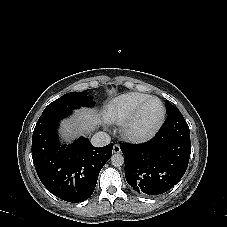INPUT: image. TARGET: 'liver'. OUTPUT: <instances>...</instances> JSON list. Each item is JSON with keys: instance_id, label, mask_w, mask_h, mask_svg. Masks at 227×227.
I'll return each instance as SVG.
<instances>
[{"instance_id": "6515ba94", "label": "liver", "mask_w": 227, "mask_h": 227, "mask_svg": "<svg viewBox=\"0 0 227 227\" xmlns=\"http://www.w3.org/2000/svg\"><path fill=\"white\" fill-rule=\"evenodd\" d=\"M101 124L99 114L88 109H81L77 111L76 121L64 122L62 124V131L67 138L75 137L78 133H90L97 125Z\"/></svg>"}]
</instances>
